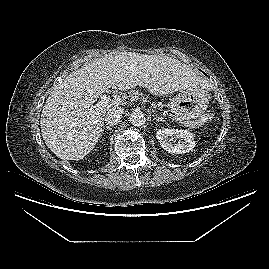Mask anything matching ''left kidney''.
Here are the masks:
<instances>
[{
	"label": "left kidney",
	"mask_w": 269,
	"mask_h": 269,
	"mask_svg": "<svg viewBox=\"0 0 269 269\" xmlns=\"http://www.w3.org/2000/svg\"><path fill=\"white\" fill-rule=\"evenodd\" d=\"M156 138L169 153H187L195 147L194 136L188 130L162 128L157 131Z\"/></svg>",
	"instance_id": "1"
}]
</instances>
